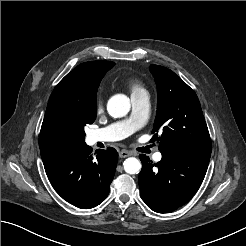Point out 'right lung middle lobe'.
<instances>
[{"label": "right lung middle lobe", "mask_w": 246, "mask_h": 246, "mask_svg": "<svg viewBox=\"0 0 246 246\" xmlns=\"http://www.w3.org/2000/svg\"><path fill=\"white\" fill-rule=\"evenodd\" d=\"M100 80L92 85L86 98L66 108L59 130L61 139L85 140L84 126L93 123L96 118V95Z\"/></svg>", "instance_id": "obj_1"}]
</instances>
